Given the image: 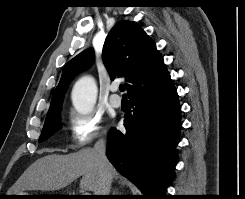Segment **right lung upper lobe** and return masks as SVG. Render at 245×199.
<instances>
[{
  "label": "right lung upper lobe",
  "mask_w": 245,
  "mask_h": 199,
  "mask_svg": "<svg viewBox=\"0 0 245 199\" xmlns=\"http://www.w3.org/2000/svg\"><path fill=\"white\" fill-rule=\"evenodd\" d=\"M93 58V50L86 49L65 65L47 116L61 109L69 83ZM102 59L111 80L125 78L128 97L151 91L170 79L155 43L135 22L123 20L115 24L105 40Z\"/></svg>",
  "instance_id": "cb5924a9"
}]
</instances>
